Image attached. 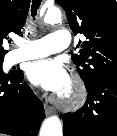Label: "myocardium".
Instances as JSON below:
<instances>
[{
  "label": "myocardium",
  "mask_w": 117,
  "mask_h": 136,
  "mask_svg": "<svg viewBox=\"0 0 117 136\" xmlns=\"http://www.w3.org/2000/svg\"><path fill=\"white\" fill-rule=\"evenodd\" d=\"M87 98V89L83 80L74 75L67 90L59 94L55 101L64 109H78L81 107Z\"/></svg>",
  "instance_id": "f54148a6"
}]
</instances>
